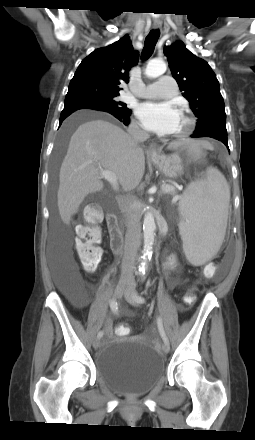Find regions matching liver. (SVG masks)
Instances as JSON below:
<instances>
[{
  "label": "liver",
  "instance_id": "obj_1",
  "mask_svg": "<svg viewBox=\"0 0 255 440\" xmlns=\"http://www.w3.org/2000/svg\"><path fill=\"white\" fill-rule=\"evenodd\" d=\"M201 144L184 140L172 142L167 148ZM100 169L113 172L122 189L129 191L141 182L145 156L123 129L102 119H92L81 124L71 136L60 168L57 205L65 224H69L88 194L103 189Z\"/></svg>",
  "mask_w": 255,
  "mask_h": 440
}]
</instances>
